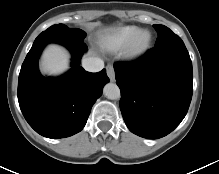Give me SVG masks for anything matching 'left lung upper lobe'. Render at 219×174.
I'll return each mask as SVG.
<instances>
[{
  "label": "left lung upper lobe",
  "instance_id": "obj_1",
  "mask_svg": "<svg viewBox=\"0 0 219 174\" xmlns=\"http://www.w3.org/2000/svg\"><path fill=\"white\" fill-rule=\"evenodd\" d=\"M153 27L158 33V38L155 43V47L171 45V44L184 45L181 38L176 34H174L168 27L158 24L153 25Z\"/></svg>",
  "mask_w": 219,
  "mask_h": 174
}]
</instances>
